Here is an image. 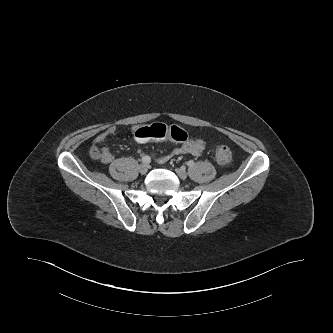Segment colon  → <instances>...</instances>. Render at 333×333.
<instances>
[{
	"label": "colon",
	"instance_id": "1",
	"mask_svg": "<svg viewBox=\"0 0 333 333\" xmlns=\"http://www.w3.org/2000/svg\"><path fill=\"white\" fill-rule=\"evenodd\" d=\"M138 141L171 139L183 142L187 139V133L178 126H167L161 123H154L150 126H142L134 133ZM216 160L220 164H227L232 160V152L227 146H218L216 149Z\"/></svg>",
	"mask_w": 333,
	"mask_h": 333
}]
</instances>
